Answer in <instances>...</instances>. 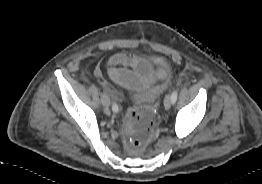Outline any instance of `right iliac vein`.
<instances>
[{
  "mask_svg": "<svg viewBox=\"0 0 262 184\" xmlns=\"http://www.w3.org/2000/svg\"><path fill=\"white\" fill-rule=\"evenodd\" d=\"M101 103L104 107H109L110 106V98L106 94H103L101 96Z\"/></svg>",
  "mask_w": 262,
  "mask_h": 184,
  "instance_id": "1",
  "label": "right iliac vein"
}]
</instances>
